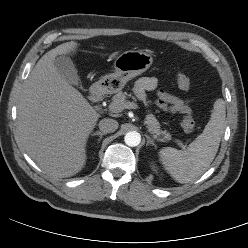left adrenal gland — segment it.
<instances>
[{"instance_id": "a2214340", "label": "left adrenal gland", "mask_w": 248, "mask_h": 248, "mask_svg": "<svg viewBox=\"0 0 248 248\" xmlns=\"http://www.w3.org/2000/svg\"><path fill=\"white\" fill-rule=\"evenodd\" d=\"M146 138H147V143H146V146L148 145H152L154 146L155 148L157 147L156 144L154 143V140L149 136V135H145Z\"/></svg>"}]
</instances>
